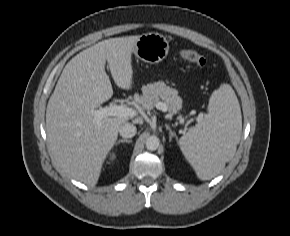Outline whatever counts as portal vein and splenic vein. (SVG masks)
<instances>
[{"label":"portal vein and splenic vein","instance_id":"1","mask_svg":"<svg viewBox=\"0 0 290 236\" xmlns=\"http://www.w3.org/2000/svg\"><path fill=\"white\" fill-rule=\"evenodd\" d=\"M155 107L163 112L168 110L167 105L163 102H157ZM91 114L94 118V121L99 123L103 118L109 116L134 117L137 115V111L126 105L113 104L91 111Z\"/></svg>","mask_w":290,"mask_h":236}]
</instances>
